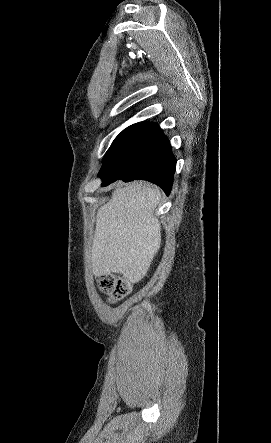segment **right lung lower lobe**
I'll use <instances>...</instances> for the list:
<instances>
[{
  "label": "right lung lower lobe",
  "instance_id": "right-lung-lower-lobe-1",
  "mask_svg": "<svg viewBox=\"0 0 271 443\" xmlns=\"http://www.w3.org/2000/svg\"><path fill=\"white\" fill-rule=\"evenodd\" d=\"M176 159L157 124L138 123L113 163L100 172L102 186L116 180L142 179L160 186L168 195L173 184Z\"/></svg>",
  "mask_w": 271,
  "mask_h": 443
}]
</instances>
